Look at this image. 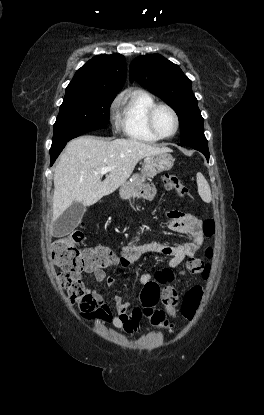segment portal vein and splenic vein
<instances>
[{
    "label": "portal vein and splenic vein",
    "mask_w": 264,
    "mask_h": 415,
    "mask_svg": "<svg viewBox=\"0 0 264 415\" xmlns=\"http://www.w3.org/2000/svg\"><path fill=\"white\" fill-rule=\"evenodd\" d=\"M112 169H113V168H110V167H104V168H102V169L99 171V174H100V175H105V174H107L108 172H110Z\"/></svg>",
    "instance_id": "portal-vein-and-splenic-vein-1"
}]
</instances>
